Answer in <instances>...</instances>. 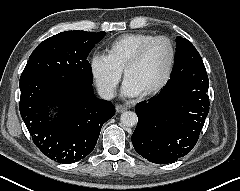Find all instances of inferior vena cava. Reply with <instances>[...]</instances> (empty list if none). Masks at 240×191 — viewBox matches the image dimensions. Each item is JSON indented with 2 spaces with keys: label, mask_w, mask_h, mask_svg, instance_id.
Returning a JSON list of instances; mask_svg holds the SVG:
<instances>
[{
  "label": "inferior vena cava",
  "mask_w": 240,
  "mask_h": 191,
  "mask_svg": "<svg viewBox=\"0 0 240 191\" xmlns=\"http://www.w3.org/2000/svg\"><path fill=\"white\" fill-rule=\"evenodd\" d=\"M98 94L104 100H110L115 97V91L112 88H99Z\"/></svg>",
  "instance_id": "1"
}]
</instances>
